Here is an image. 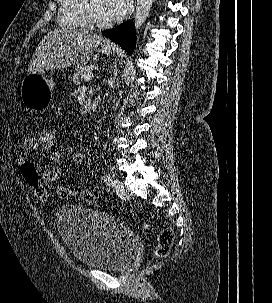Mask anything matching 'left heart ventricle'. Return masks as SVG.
Here are the masks:
<instances>
[{"label":"left heart ventricle","instance_id":"1","mask_svg":"<svg viewBox=\"0 0 272 303\" xmlns=\"http://www.w3.org/2000/svg\"><path fill=\"white\" fill-rule=\"evenodd\" d=\"M95 15L103 21H108L104 12V0H92Z\"/></svg>","mask_w":272,"mask_h":303}]
</instances>
